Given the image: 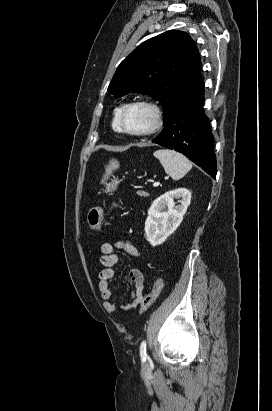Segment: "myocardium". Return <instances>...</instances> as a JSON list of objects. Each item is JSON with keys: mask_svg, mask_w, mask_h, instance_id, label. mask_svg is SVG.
<instances>
[{"mask_svg": "<svg viewBox=\"0 0 272 411\" xmlns=\"http://www.w3.org/2000/svg\"><path fill=\"white\" fill-rule=\"evenodd\" d=\"M132 107H143L151 113V123L145 129L139 131H131L125 127L123 120L124 115L126 111ZM162 122L163 116L160 108L155 103L147 100H133L126 103L121 108L118 116V125L120 132L133 137H146L156 133L161 128Z\"/></svg>", "mask_w": 272, "mask_h": 411, "instance_id": "obj_1", "label": "myocardium"}]
</instances>
